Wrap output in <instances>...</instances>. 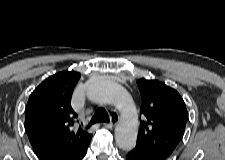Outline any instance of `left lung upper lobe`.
<instances>
[{
	"instance_id": "1",
	"label": "left lung upper lobe",
	"mask_w": 225,
	"mask_h": 160,
	"mask_svg": "<svg viewBox=\"0 0 225 160\" xmlns=\"http://www.w3.org/2000/svg\"><path fill=\"white\" fill-rule=\"evenodd\" d=\"M143 120L135 150L155 159L170 157L182 140L188 118L179 93L157 80H138Z\"/></svg>"
}]
</instances>
